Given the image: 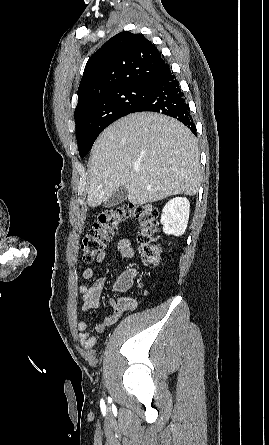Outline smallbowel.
Segmentation results:
<instances>
[{
	"label": "small bowel",
	"mask_w": 269,
	"mask_h": 445,
	"mask_svg": "<svg viewBox=\"0 0 269 445\" xmlns=\"http://www.w3.org/2000/svg\"><path fill=\"white\" fill-rule=\"evenodd\" d=\"M115 249L120 253L123 258L133 259L134 249L131 242L127 239H119L115 243ZM106 259V252L102 251L97 256L98 262H103ZM107 271L98 277H95V272L93 268H85L82 272V277L88 280V284H82L79 286V293L82 297L81 310L83 313H87L93 308L99 306L102 292L106 284V274ZM135 272L129 270L119 277L117 282L124 278H130L132 281ZM110 314L106 316L102 321L98 322L94 329H91V325L86 321L78 322L77 328L79 330V340L85 349H92L97 341V333H103L108 327L115 324L125 313L134 311L138 302L136 299L131 297H124L120 299L111 298L109 300Z\"/></svg>",
	"instance_id": "c3829d8e"
}]
</instances>
